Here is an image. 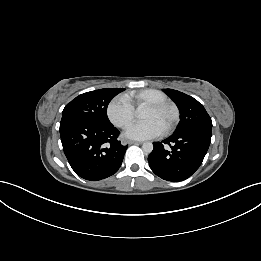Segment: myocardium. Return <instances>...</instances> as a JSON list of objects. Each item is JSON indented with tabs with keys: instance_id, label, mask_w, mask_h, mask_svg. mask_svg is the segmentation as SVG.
Listing matches in <instances>:
<instances>
[{
	"instance_id": "f54148a6",
	"label": "myocardium",
	"mask_w": 261,
	"mask_h": 261,
	"mask_svg": "<svg viewBox=\"0 0 261 261\" xmlns=\"http://www.w3.org/2000/svg\"><path fill=\"white\" fill-rule=\"evenodd\" d=\"M147 108L157 112H169L171 114V119L168 125L166 126V128L164 129V133L171 132L177 125L179 120V111L174 104L169 102L154 103V104H149Z\"/></svg>"
}]
</instances>
